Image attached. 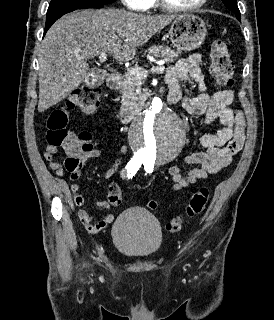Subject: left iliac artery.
<instances>
[{
  "label": "left iliac artery",
  "mask_w": 274,
  "mask_h": 320,
  "mask_svg": "<svg viewBox=\"0 0 274 320\" xmlns=\"http://www.w3.org/2000/svg\"><path fill=\"white\" fill-rule=\"evenodd\" d=\"M144 169L148 173H152L154 169V163L148 160H144Z\"/></svg>",
  "instance_id": "44dca946"
}]
</instances>
